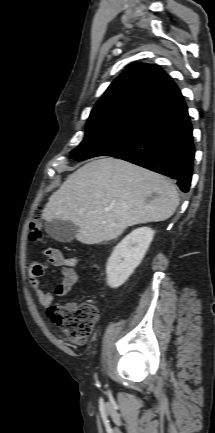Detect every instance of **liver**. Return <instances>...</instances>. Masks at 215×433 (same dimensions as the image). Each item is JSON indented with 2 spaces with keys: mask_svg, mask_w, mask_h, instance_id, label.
I'll return each instance as SVG.
<instances>
[{
  "mask_svg": "<svg viewBox=\"0 0 215 433\" xmlns=\"http://www.w3.org/2000/svg\"><path fill=\"white\" fill-rule=\"evenodd\" d=\"M178 204L170 179L108 157L69 175L49 198L43 219L72 222L78 227L76 239L92 245L117 238L129 226L167 220Z\"/></svg>",
  "mask_w": 215,
  "mask_h": 433,
  "instance_id": "liver-1",
  "label": "liver"
}]
</instances>
